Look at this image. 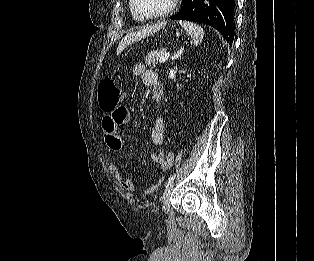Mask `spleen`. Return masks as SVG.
Returning <instances> with one entry per match:
<instances>
[{
	"mask_svg": "<svg viewBox=\"0 0 314 261\" xmlns=\"http://www.w3.org/2000/svg\"><path fill=\"white\" fill-rule=\"evenodd\" d=\"M180 25L191 36L194 45H199L202 42L204 30L201 26L188 21H180Z\"/></svg>",
	"mask_w": 314,
	"mask_h": 261,
	"instance_id": "obj_1",
	"label": "spleen"
}]
</instances>
